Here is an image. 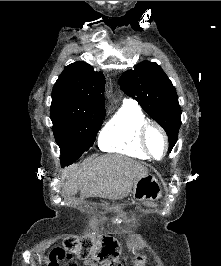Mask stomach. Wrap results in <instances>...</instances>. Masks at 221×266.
I'll list each match as a JSON object with an SVG mask.
<instances>
[{"instance_id":"stomach-1","label":"stomach","mask_w":221,"mask_h":266,"mask_svg":"<svg viewBox=\"0 0 221 266\" xmlns=\"http://www.w3.org/2000/svg\"><path fill=\"white\" fill-rule=\"evenodd\" d=\"M161 185L155 176L146 174L134 184L132 196L136 201H155L161 197Z\"/></svg>"}]
</instances>
